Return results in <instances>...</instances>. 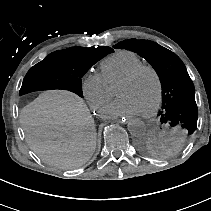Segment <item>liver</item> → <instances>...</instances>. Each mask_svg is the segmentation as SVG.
Listing matches in <instances>:
<instances>
[{
  "label": "liver",
  "mask_w": 211,
  "mask_h": 211,
  "mask_svg": "<svg viewBox=\"0 0 211 211\" xmlns=\"http://www.w3.org/2000/svg\"><path fill=\"white\" fill-rule=\"evenodd\" d=\"M30 148L51 165L71 169L84 164L96 144L95 124L75 94L49 91L20 112Z\"/></svg>",
  "instance_id": "obj_1"
}]
</instances>
